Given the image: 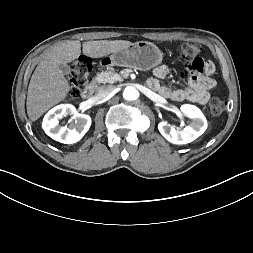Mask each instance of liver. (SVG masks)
<instances>
[{
    "mask_svg": "<svg viewBox=\"0 0 253 253\" xmlns=\"http://www.w3.org/2000/svg\"><path fill=\"white\" fill-rule=\"evenodd\" d=\"M132 44L126 40L88 41L82 44L83 54L91 58H100L124 49ZM81 54L80 41H63L52 47L36 67L27 94V114L36 121L48 109L64 100L70 91V85L60 70V64H67Z\"/></svg>",
    "mask_w": 253,
    "mask_h": 253,
    "instance_id": "liver-1",
    "label": "liver"
}]
</instances>
